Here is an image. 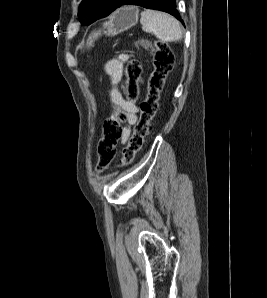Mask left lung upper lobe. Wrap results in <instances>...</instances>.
Listing matches in <instances>:
<instances>
[{
  "instance_id": "left-lung-upper-lobe-1",
  "label": "left lung upper lobe",
  "mask_w": 267,
  "mask_h": 298,
  "mask_svg": "<svg viewBox=\"0 0 267 298\" xmlns=\"http://www.w3.org/2000/svg\"><path fill=\"white\" fill-rule=\"evenodd\" d=\"M115 0H82L78 16L82 24L86 25L96 15L109 11Z\"/></svg>"
}]
</instances>
